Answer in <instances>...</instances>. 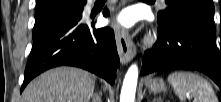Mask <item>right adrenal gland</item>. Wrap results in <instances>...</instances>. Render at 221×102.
<instances>
[{"instance_id":"1","label":"right adrenal gland","mask_w":221,"mask_h":102,"mask_svg":"<svg viewBox=\"0 0 221 102\" xmlns=\"http://www.w3.org/2000/svg\"><path fill=\"white\" fill-rule=\"evenodd\" d=\"M91 102H101L100 96L98 94H96V93L93 94Z\"/></svg>"}]
</instances>
